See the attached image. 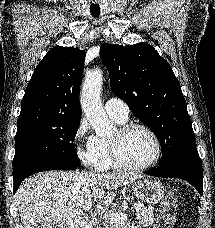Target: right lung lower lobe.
<instances>
[{"mask_svg": "<svg viewBox=\"0 0 215 228\" xmlns=\"http://www.w3.org/2000/svg\"><path fill=\"white\" fill-rule=\"evenodd\" d=\"M78 167L79 166L76 165L56 162H38L18 167L13 170L14 193L17 191V188L19 187L22 180L34 173L47 170H75Z\"/></svg>", "mask_w": 215, "mask_h": 228, "instance_id": "right-lung-lower-lobe-1", "label": "right lung lower lobe"}]
</instances>
